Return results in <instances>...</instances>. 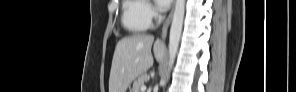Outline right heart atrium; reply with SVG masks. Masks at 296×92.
<instances>
[{
  "label": "right heart atrium",
  "mask_w": 296,
  "mask_h": 92,
  "mask_svg": "<svg viewBox=\"0 0 296 92\" xmlns=\"http://www.w3.org/2000/svg\"><path fill=\"white\" fill-rule=\"evenodd\" d=\"M143 16L149 23H151L152 20L157 17V12L154 6L148 1H144Z\"/></svg>",
  "instance_id": "1"
}]
</instances>
